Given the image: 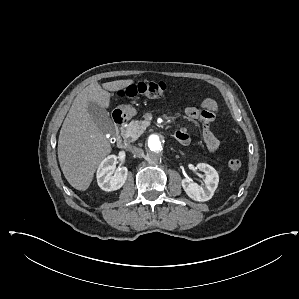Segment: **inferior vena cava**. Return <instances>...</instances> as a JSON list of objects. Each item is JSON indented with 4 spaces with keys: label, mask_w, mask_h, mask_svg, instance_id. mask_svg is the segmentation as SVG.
Masks as SVG:
<instances>
[{
    "label": "inferior vena cava",
    "mask_w": 299,
    "mask_h": 299,
    "mask_svg": "<svg viewBox=\"0 0 299 299\" xmlns=\"http://www.w3.org/2000/svg\"><path fill=\"white\" fill-rule=\"evenodd\" d=\"M128 150L132 152L136 157L139 158L144 155V151L141 148H138L136 146H130Z\"/></svg>",
    "instance_id": "obj_1"
}]
</instances>
